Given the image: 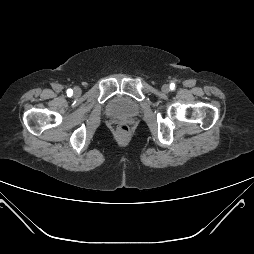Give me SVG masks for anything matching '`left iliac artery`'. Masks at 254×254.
Here are the masks:
<instances>
[{
    "mask_svg": "<svg viewBox=\"0 0 254 254\" xmlns=\"http://www.w3.org/2000/svg\"><path fill=\"white\" fill-rule=\"evenodd\" d=\"M174 88H175V84L172 83V84L170 85V89H171V90H174Z\"/></svg>",
    "mask_w": 254,
    "mask_h": 254,
    "instance_id": "1",
    "label": "left iliac artery"
}]
</instances>
